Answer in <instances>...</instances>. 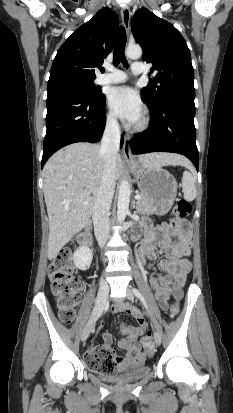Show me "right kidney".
<instances>
[{"label": "right kidney", "mask_w": 233, "mask_h": 413, "mask_svg": "<svg viewBox=\"0 0 233 413\" xmlns=\"http://www.w3.org/2000/svg\"><path fill=\"white\" fill-rule=\"evenodd\" d=\"M93 254L87 246L77 248L73 255L75 266L80 270H87L92 263Z\"/></svg>", "instance_id": "1"}]
</instances>
